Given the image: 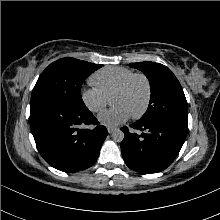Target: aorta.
Masks as SVG:
<instances>
[{
	"label": "aorta",
	"instance_id": "obj_1",
	"mask_svg": "<svg viewBox=\"0 0 220 220\" xmlns=\"http://www.w3.org/2000/svg\"><path fill=\"white\" fill-rule=\"evenodd\" d=\"M112 139L121 142L124 139V133L120 129H116L112 132Z\"/></svg>",
	"mask_w": 220,
	"mask_h": 220
}]
</instances>
